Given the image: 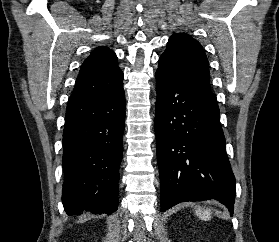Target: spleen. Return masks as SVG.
Wrapping results in <instances>:
<instances>
[{
	"instance_id": "1",
	"label": "spleen",
	"mask_w": 279,
	"mask_h": 242,
	"mask_svg": "<svg viewBox=\"0 0 279 242\" xmlns=\"http://www.w3.org/2000/svg\"><path fill=\"white\" fill-rule=\"evenodd\" d=\"M195 214L203 220H209L212 217L211 211L202 207H197Z\"/></svg>"
}]
</instances>
